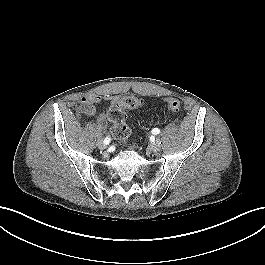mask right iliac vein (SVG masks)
I'll return each instance as SVG.
<instances>
[{
  "label": "right iliac vein",
  "mask_w": 265,
  "mask_h": 265,
  "mask_svg": "<svg viewBox=\"0 0 265 265\" xmlns=\"http://www.w3.org/2000/svg\"><path fill=\"white\" fill-rule=\"evenodd\" d=\"M98 148L101 149V150H104V149L107 148V145L104 144V143H102V142H99V143H98Z\"/></svg>",
  "instance_id": "right-iliac-vein-1"
}]
</instances>
